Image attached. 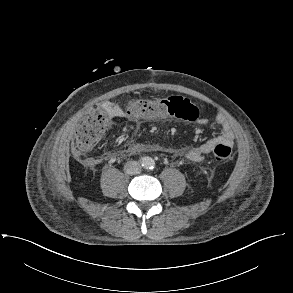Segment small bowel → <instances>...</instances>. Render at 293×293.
<instances>
[{"mask_svg":"<svg viewBox=\"0 0 293 293\" xmlns=\"http://www.w3.org/2000/svg\"><path fill=\"white\" fill-rule=\"evenodd\" d=\"M102 108L109 114V116L114 119H122L128 117L126 111H124V109L119 105L113 103H105ZM218 123L221 125L220 135L216 138H212L206 141L204 144L198 147H194L184 152L183 155L187 159L193 162L203 161L205 157L214 149L215 144H217L218 142H223L229 146H233L235 136L231 126L222 119H220ZM198 125L200 127H207L209 126V120L206 118H200L198 120ZM87 163L89 165H94L97 163V160L95 158H89L87 160Z\"/></svg>","mask_w":293,"mask_h":293,"instance_id":"small-bowel-1","label":"small bowel"}]
</instances>
